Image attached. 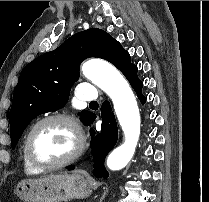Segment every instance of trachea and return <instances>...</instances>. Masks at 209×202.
Instances as JSON below:
<instances>
[{"mask_svg":"<svg viewBox=\"0 0 209 202\" xmlns=\"http://www.w3.org/2000/svg\"><path fill=\"white\" fill-rule=\"evenodd\" d=\"M90 104H97V102L96 101H93V102H90Z\"/></svg>","mask_w":209,"mask_h":202,"instance_id":"trachea-1","label":"trachea"}]
</instances>
